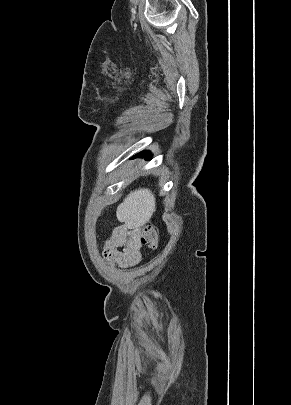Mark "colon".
Segmentation results:
<instances>
[{
    "label": "colon",
    "mask_w": 291,
    "mask_h": 405,
    "mask_svg": "<svg viewBox=\"0 0 291 405\" xmlns=\"http://www.w3.org/2000/svg\"><path fill=\"white\" fill-rule=\"evenodd\" d=\"M140 241L149 249H156L158 246L157 229L150 224H146L139 229Z\"/></svg>",
    "instance_id": "colon-1"
}]
</instances>
